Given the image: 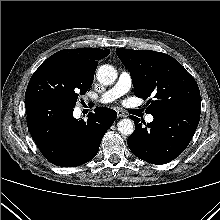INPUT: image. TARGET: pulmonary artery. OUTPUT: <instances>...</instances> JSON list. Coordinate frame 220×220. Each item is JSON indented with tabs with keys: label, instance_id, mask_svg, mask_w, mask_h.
Segmentation results:
<instances>
[{
	"label": "pulmonary artery",
	"instance_id": "obj_1",
	"mask_svg": "<svg viewBox=\"0 0 220 220\" xmlns=\"http://www.w3.org/2000/svg\"><path fill=\"white\" fill-rule=\"evenodd\" d=\"M132 85V79L128 72L123 71L120 73L117 82L114 84L112 88L101 94L98 99L99 103H110L121 97L122 95L126 94ZM152 115H147L145 120L147 122L153 121Z\"/></svg>",
	"mask_w": 220,
	"mask_h": 220
}]
</instances>
